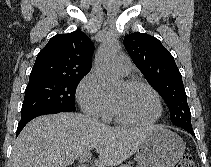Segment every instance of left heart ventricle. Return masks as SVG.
<instances>
[{
	"label": "left heart ventricle",
	"mask_w": 211,
	"mask_h": 167,
	"mask_svg": "<svg viewBox=\"0 0 211 167\" xmlns=\"http://www.w3.org/2000/svg\"><path fill=\"white\" fill-rule=\"evenodd\" d=\"M112 100L124 115L135 121H150L158 113L155 96L143 87L129 88L123 84L112 94Z\"/></svg>",
	"instance_id": "obj_1"
}]
</instances>
